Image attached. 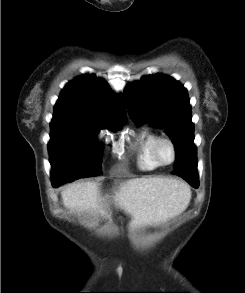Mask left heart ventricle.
Returning <instances> with one entry per match:
<instances>
[{
    "label": "left heart ventricle",
    "mask_w": 245,
    "mask_h": 293,
    "mask_svg": "<svg viewBox=\"0 0 245 293\" xmlns=\"http://www.w3.org/2000/svg\"><path fill=\"white\" fill-rule=\"evenodd\" d=\"M160 154H161V157L164 161H169L172 157L171 149L166 144L161 146Z\"/></svg>",
    "instance_id": "1"
}]
</instances>
